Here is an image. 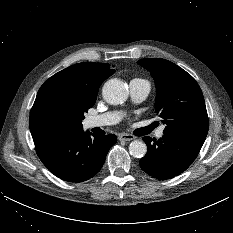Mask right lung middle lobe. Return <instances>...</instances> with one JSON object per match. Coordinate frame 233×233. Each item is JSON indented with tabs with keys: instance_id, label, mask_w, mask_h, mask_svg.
Masks as SVG:
<instances>
[{
	"instance_id": "dd1d6c3e",
	"label": "right lung middle lobe",
	"mask_w": 233,
	"mask_h": 233,
	"mask_svg": "<svg viewBox=\"0 0 233 233\" xmlns=\"http://www.w3.org/2000/svg\"><path fill=\"white\" fill-rule=\"evenodd\" d=\"M57 105L60 108V110L64 113L68 108V97L64 94H60L57 97ZM93 104H87V106L81 111V115H83L84 112H87L89 108H91Z\"/></svg>"
}]
</instances>
